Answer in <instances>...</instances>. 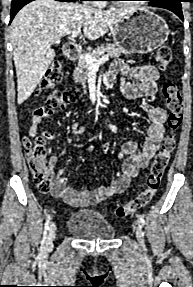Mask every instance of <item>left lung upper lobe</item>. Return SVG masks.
Instances as JSON below:
<instances>
[{
	"mask_svg": "<svg viewBox=\"0 0 193 287\" xmlns=\"http://www.w3.org/2000/svg\"><path fill=\"white\" fill-rule=\"evenodd\" d=\"M147 1H149V5H153V4H157L159 2H162L164 0H147Z\"/></svg>",
	"mask_w": 193,
	"mask_h": 287,
	"instance_id": "left-lung-upper-lobe-1",
	"label": "left lung upper lobe"
}]
</instances>
